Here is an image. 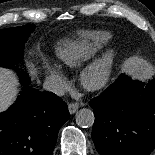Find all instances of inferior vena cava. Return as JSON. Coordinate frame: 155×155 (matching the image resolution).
Here are the masks:
<instances>
[{
	"label": "inferior vena cava",
	"mask_w": 155,
	"mask_h": 155,
	"mask_svg": "<svg viewBox=\"0 0 155 155\" xmlns=\"http://www.w3.org/2000/svg\"><path fill=\"white\" fill-rule=\"evenodd\" d=\"M43 88L47 91L53 92L58 96H62L65 94V87L62 82L49 79L43 83Z\"/></svg>",
	"instance_id": "inferior-vena-cava-1"
}]
</instances>
